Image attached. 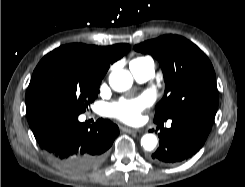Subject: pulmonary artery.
Listing matches in <instances>:
<instances>
[{
	"label": "pulmonary artery",
	"mask_w": 245,
	"mask_h": 187,
	"mask_svg": "<svg viewBox=\"0 0 245 187\" xmlns=\"http://www.w3.org/2000/svg\"><path fill=\"white\" fill-rule=\"evenodd\" d=\"M130 70L138 82H145L154 76V63L148 58L141 63L131 64Z\"/></svg>",
	"instance_id": "pulmonary-artery-1"
}]
</instances>
